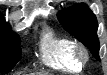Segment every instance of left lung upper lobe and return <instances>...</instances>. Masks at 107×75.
Listing matches in <instances>:
<instances>
[{"instance_id": "obj_1", "label": "left lung upper lobe", "mask_w": 107, "mask_h": 75, "mask_svg": "<svg viewBox=\"0 0 107 75\" xmlns=\"http://www.w3.org/2000/svg\"><path fill=\"white\" fill-rule=\"evenodd\" d=\"M58 20L66 31L87 46L93 56L100 60L97 19L84 3L76 4L66 11L59 13Z\"/></svg>"}]
</instances>
